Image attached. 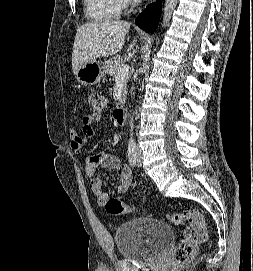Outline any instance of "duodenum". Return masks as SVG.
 <instances>
[{
    "instance_id": "1",
    "label": "duodenum",
    "mask_w": 253,
    "mask_h": 271,
    "mask_svg": "<svg viewBox=\"0 0 253 271\" xmlns=\"http://www.w3.org/2000/svg\"><path fill=\"white\" fill-rule=\"evenodd\" d=\"M115 122L118 125H123L126 119V109L123 106L117 107L113 113Z\"/></svg>"
}]
</instances>
